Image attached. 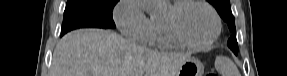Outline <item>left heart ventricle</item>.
Returning <instances> with one entry per match:
<instances>
[{"mask_svg":"<svg viewBox=\"0 0 287 76\" xmlns=\"http://www.w3.org/2000/svg\"><path fill=\"white\" fill-rule=\"evenodd\" d=\"M179 28L184 37L193 43H203L213 34L215 24L210 12L200 5L186 6L178 17Z\"/></svg>","mask_w":287,"mask_h":76,"instance_id":"b2bd125f","label":"left heart ventricle"}]
</instances>
